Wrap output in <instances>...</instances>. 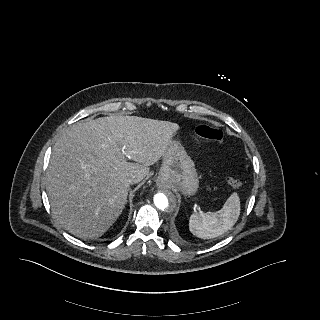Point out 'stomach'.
<instances>
[{"mask_svg": "<svg viewBox=\"0 0 320 320\" xmlns=\"http://www.w3.org/2000/svg\"><path fill=\"white\" fill-rule=\"evenodd\" d=\"M156 182L184 195H193L199 187L194 161L178 141H170L163 155Z\"/></svg>", "mask_w": 320, "mask_h": 320, "instance_id": "obj_1", "label": "stomach"}]
</instances>
